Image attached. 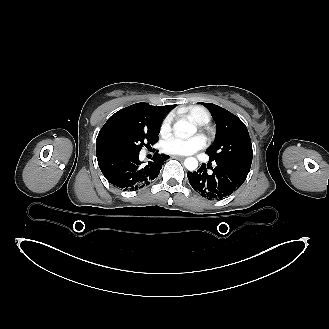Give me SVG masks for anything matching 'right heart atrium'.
<instances>
[{"label": "right heart atrium", "mask_w": 329, "mask_h": 329, "mask_svg": "<svg viewBox=\"0 0 329 329\" xmlns=\"http://www.w3.org/2000/svg\"><path fill=\"white\" fill-rule=\"evenodd\" d=\"M173 116L172 114L167 115L161 122L160 133L162 136H167L172 130Z\"/></svg>", "instance_id": "1"}]
</instances>
